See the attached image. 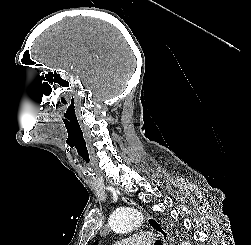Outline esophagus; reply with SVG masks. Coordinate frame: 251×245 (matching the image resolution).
I'll use <instances>...</instances> for the list:
<instances>
[{
  "label": "esophagus",
  "instance_id": "1",
  "mask_svg": "<svg viewBox=\"0 0 251 245\" xmlns=\"http://www.w3.org/2000/svg\"><path fill=\"white\" fill-rule=\"evenodd\" d=\"M122 200L127 204L135 206V202L129 199L126 196H122ZM141 211L142 209L138 207ZM146 223L160 236L162 239L163 245H174V238L169 233L168 229L165 228L162 224H160L154 217L150 215H146L145 217Z\"/></svg>",
  "mask_w": 251,
  "mask_h": 245
}]
</instances>
